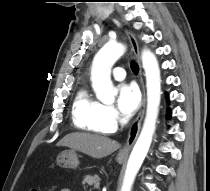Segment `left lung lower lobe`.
<instances>
[{
	"instance_id": "obj_1",
	"label": "left lung lower lobe",
	"mask_w": 210,
	"mask_h": 191,
	"mask_svg": "<svg viewBox=\"0 0 210 191\" xmlns=\"http://www.w3.org/2000/svg\"><path fill=\"white\" fill-rule=\"evenodd\" d=\"M167 115H168V116H170V115H171V111H170V110L168 111V114H167Z\"/></svg>"
}]
</instances>
